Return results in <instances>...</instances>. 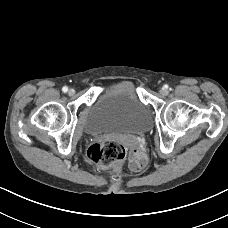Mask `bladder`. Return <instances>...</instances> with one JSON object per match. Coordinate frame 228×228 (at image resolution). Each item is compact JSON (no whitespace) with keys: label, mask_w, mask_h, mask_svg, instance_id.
<instances>
[{"label":"bladder","mask_w":228,"mask_h":228,"mask_svg":"<svg viewBox=\"0 0 228 228\" xmlns=\"http://www.w3.org/2000/svg\"><path fill=\"white\" fill-rule=\"evenodd\" d=\"M152 123L149 109L139 99L131 81L123 80L104 90L87 111L83 129L87 134H139Z\"/></svg>","instance_id":"31cf9c89"}]
</instances>
